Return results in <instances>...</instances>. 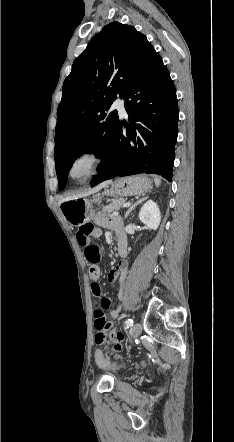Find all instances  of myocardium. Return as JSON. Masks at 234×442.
<instances>
[{"mask_svg":"<svg viewBox=\"0 0 234 442\" xmlns=\"http://www.w3.org/2000/svg\"><path fill=\"white\" fill-rule=\"evenodd\" d=\"M88 158L90 160V170L86 176L83 178L77 179L72 175V168L76 161L81 158ZM105 161V153L104 150L97 145H89L78 150L70 159L67 167V174L69 179L76 183H85L93 178L100 168L102 167Z\"/></svg>","mask_w":234,"mask_h":442,"instance_id":"obj_1","label":"myocardium"}]
</instances>
